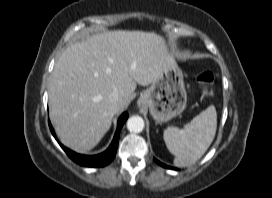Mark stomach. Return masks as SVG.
Returning a JSON list of instances; mask_svg holds the SVG:
<instances>
[{
	"label": "stomach",
	"mask_w": 272,
	"mask_h": 198,
	"mask_svg": "<svg viewBox=\"0 0 272 198\" xmlns=\"http://www.w3.org/2000/svg\"><path fill=\"white\" fill-rule=\"evenodd\" d=\"M139 105L148 108L156 123L181 114L187 103L183 73L176 63L168 66L141 95Z\"/></svg>",
	"instance_id": "obj_1"
}]
</instances>
